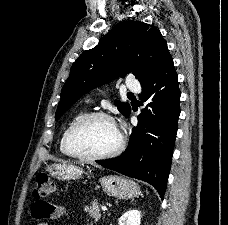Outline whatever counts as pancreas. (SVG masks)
<instances>
[{"label":"pancreas","mask_w":228,"mask_h":225,"mask_svg":"<svg viewBox=\"0 0 228 225\" xmlns=\"http://www.w3.org/2000/svg\"><path fill=\"white\" fill-rule=\"evenodd\" d=\"M92 207H84V211L92 217V219H95V221H100L101 213H100V205L96 203V201H92L91 203Z\"/></svg>","instance_id":"pancreas-1"}]
</instances>
